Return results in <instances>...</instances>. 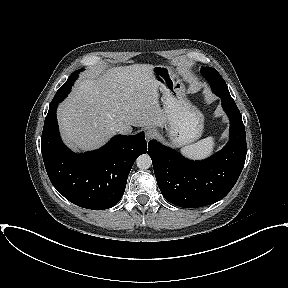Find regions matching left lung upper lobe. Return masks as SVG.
I'll use <instances>...</instances> for the list:
<instances>
[{
    "instance_id": "left-lung-upper-lobe-1",
    "label": "left lung upper lobe",
    "mask_w": 288,
    "mask_h": 288,
    "mask_svg": "<svg viewBox=\"0 0 288 288\" xmlns=\"http://www.w3.org/2000/svg\"><path fill=\"white\" fill-rule=\"evenodd\" d=\"M201 73L207 78L216 95L219 97L232 98L225 81L217 70L211 67H202Z\"/></svg>"
}]
</instances>
